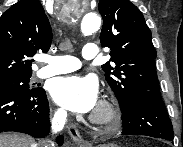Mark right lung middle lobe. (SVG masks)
<instances>
[{"label":"right lung middle lobe","mask_w":183,"mask_h":147,"mask_svg":"<svg viewBox=\"0 0 183 147\" xmlns=\"http://www.w3.org/2000/svg\"><path fill=\"white\" fill-rule=\"evenodd\" d=\"M31 75L23 76V77H17V78H11L6 80H0V90L3 89H33L29 87V79Z\"/></svg>","instance_id":"right-lung-middle-lobe-1"}]
</instances>
